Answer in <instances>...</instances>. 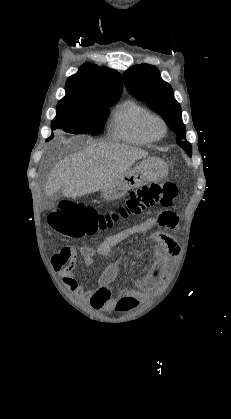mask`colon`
<instances>
[{
  "mask_svg": "<svg viewBox=\"0 0 231 419\" xmlns=\"http://www.w3.org/2000/svg\"><path fill=\"white\" fill-rule=\"evenodd\" d=\"M177 186L171 182L150 183L126 196V202L119 206L116 211L109 214H99L92 206H85L73 202H63L50 214L51 227L62 234L74 236L84 234L87 229H104L115 223L126 220L132 216L140 215L145 210L156 205L171 207L177 197ZM163 222L161 225L163 227ZM62 264L61 252L54 256ZM138 304L137 300L130 296H123L117 303L118 311H127Z\"/></svg>",
  "mask_w": 231,
  "mask_h": 419,
  "instance_id": "5ec220e1",
  "label": "colon"
}]
</instances>
